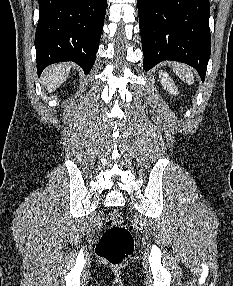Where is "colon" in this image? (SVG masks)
I'll list each match as a JSON object with an SVG mask.
<instances>
[{
    "label": "colon",
    "mask_w": 233,
    "mask_h": 286,
    "mask_svg": "<svg viewBox=\"0 0 233 286\" xmlns=\"http://www.w3.org/2000/svg\"><path fill=\"white\" fill-rule=\"evenodd\" d=\"M133 250V237L125 225L124 215L120 212L110 213L106 229L96 246L97 256L111 266H120L131 256Z\"/></svg>",
    "instance_id": "1"
}]
</instances>
